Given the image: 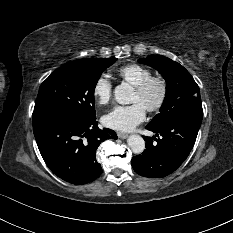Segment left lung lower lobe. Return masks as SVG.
<instances>
[{"instance_id":"obj_1","label":"left lung lower lobe","mask_w":233,"mask_h":233,"mask_svg":"<svg viewBox=\"0 0 233 233\" xmlns=\"http://www.w3.org/2000/svg\"><path fill=\"white\" fill-rule=\"evenodd\" d=\"M202 114V108H194L161 127L147 125L146 128L156 135L144 137L146 150L131 161L134 171L141 176L155 178L165 177L178 169L194 146Z\"/></svg>"}]
</instances>
